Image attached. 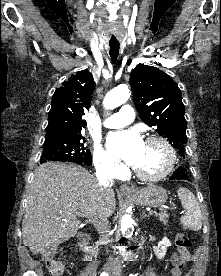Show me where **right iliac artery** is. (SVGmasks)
I'll use <instances>...</instances> for the list:
<instances>
[{
	"mask_svg": "<svg viewBox=\"0 0 221 276\" xmlns=\"http://www.w3.org/2000/svg\"><path fill=\"white\" fill-rule=\"evenodd\" d=\"M100 276H108V274H106V273H102Z\"/></svg>",
	"mask_w": 221,
	"mask_h": 276,
	"instance_id": "1",
	"label": "right iliac artery"
}]
</instances>
